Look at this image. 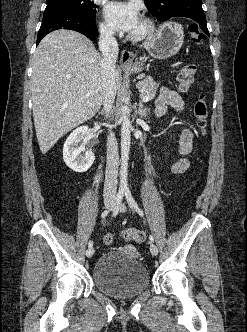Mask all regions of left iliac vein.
<instances>
[{"label": "left iliac vein", "instance_id": "1", "mask_svg": "<svg viewBox=\"0 0 247 332\" xmlns=\"http://www.w3.org/2000/svg\"><path fill=\"white\" fill-rule=\"evenodd\" d=\"M118 211L120 212H125L126 211V207L124 204H121V206L118 208ZM150 252L152 253V255L156 256L158 254V248L154 243L150 244Z\"/></svg>", "mask_w": 247, "mask_h": 332}]
</instances>
